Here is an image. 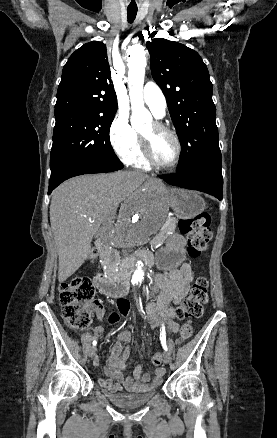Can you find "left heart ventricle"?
<instances>
[{
    "label": "left heart ventricle",
    "instance_id": "obj_1",
    "mask_svg": "<svg viewBox=\"0 0 277 438\" xmlns=\"http://www.w3.org/2000/svg\"><path fill=\"white\" fill-rule=\"evenodd\" d=\"M140 134L152 138L155 156L161 163L169 164L174 160L176 155V145L169 135L156 131L152 122L141 130Z\"/></svg>",
    "mask_w": 277,
    "mask_h": 438
}]
</instances>
